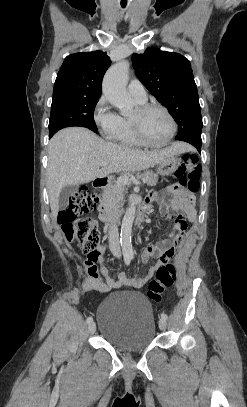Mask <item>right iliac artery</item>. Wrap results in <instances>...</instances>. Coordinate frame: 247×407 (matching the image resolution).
<instances>
[{
	"label": "right iliac artery",
	"mask_w": 247,
	"mask_h": 407,
	"mask_svg": "<svg viewBox=\"0 0 247 407\" xmlns=\"http://www.w3.org/2000/svg\"><path fill=\"white\" fill-rule=\"evenodd\" d=\"M124 261H125V264H126V265H129V264H130V261H131V258L126 257V258L124 259ZM86 322H87L88 324H90L91 322H93V318H92V317H88L87 320H86Z\"/></svg>",
	"instance_id": "obj_1"
}]
</instances>
